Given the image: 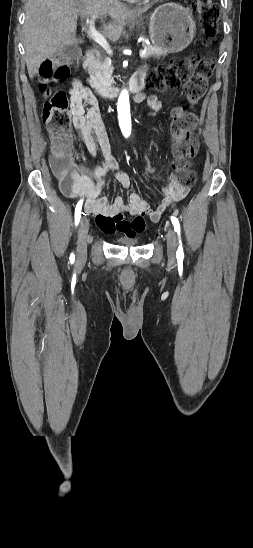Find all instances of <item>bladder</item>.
<instances>
[{"label":"bladder","instance_id":"obj_1","mask_svg":"<svg viewBox=\"0 0 253 548\" xmlns=\"http://www.w3.org/2000/svg\"><path fill=\"white\" fill-rule=\"evenodd\" d=\"M117 241L121 244L129 245V246L137 245L140 242V240L134 236H121L117 238Z\"/></svg>","mask_w":253,"mask_h":548}]
</instances>
